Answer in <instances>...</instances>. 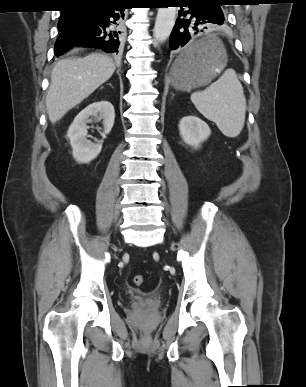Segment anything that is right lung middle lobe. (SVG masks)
<instances>
[{
  "label": "right lung middle lobe",
  "instance_id": "right-lung-middle-lobe-1",
  "mask_svg": "<svg viewBox=\"0 0 306 387\" xmlns=\"http://www.w3.org/2000/svg\"><path fill=\"white\" fill-rule=\"evenodd\" d=\"M81 20L79 12L77 8L68 9V11L62 13V16L58 22L59 30L68 28L70 26L75 25Z\"/></svg>",
  "mask_w": 306,
  "mask_h": 387
}]
</instances>
